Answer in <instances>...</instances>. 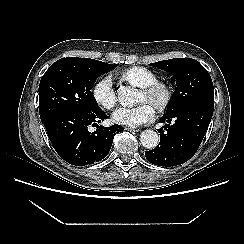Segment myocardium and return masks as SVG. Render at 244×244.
Instances as JSON below:
<instances>
[{"label":"myocardium","mask_w":244,"mask_h":244,"mask_svg":"<svg viewBox=\"0 0 244 244\" xmlns=\"http://www.w3.org/2000/svg\"><path fill=\"white\" fill-rule=\"evenodd\" d=\"M146 96L147 102L152 104L158 111H164L172 98V89L166 82L156 81L141 89Z\"/></svg>","instance_id":"myocardium-1"}]
</instances>
